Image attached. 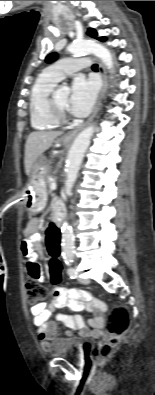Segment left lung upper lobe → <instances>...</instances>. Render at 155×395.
Returning <instances> with one entry per match:
<instances>
[{"mask_svg":"<svg viewBox=\"0 0 155 395\" xmlns=\"http://www.w3.org/2000/svg\"><path fill=\"white\" fill-rule=\"evenodd\" d=\"M87 35H89L93 38H96L97 32L94 29L89 28L87 31ZM98 40L105 41V37H100V38H98ZM56 59H57V53H51L46 57L45 61L47 63H51V62L55 61Z\"/></svg>","mask_w":155,"mask_h":395,"instance_id":"5c2ea615","label":"left lung upper lobe"}]
</instances>
